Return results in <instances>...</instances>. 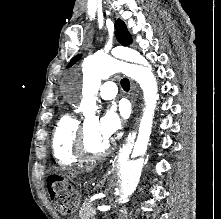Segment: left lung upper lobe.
Instances as JSON below:
<instances>
[{
	"label": "left lung upper lobe",
	"instance_id": "obj_1",
	"mask_svg": "<svg viewBox=\"0 0 221 219\" xmlns=\"http://www.w3.org/2000/svg\"><path fill=\"white\" fill-rule=\"evenodd\" d=\"M115 29H116V32H115L116 38L120 44L126 46V45H129L132 43L131 35L129 34V32H128V30L122 20L118 19L115 22ZM80 58H81L80 54L75 56L68 64V67L75 64Z\"/></svg>",
	"mask_w": 221,
	"mask_h": 219
}]
</instances>
